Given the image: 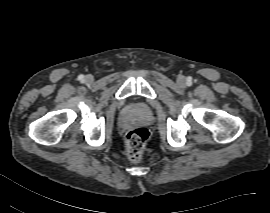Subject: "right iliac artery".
<instances>
[{"label":"right iliac artery","mask_w":270,"mask_h":213,"mask_svg":"<svg viewBox=\"0 0 270 213\" xmlns=\"http://www.w3.org/2000/svg\"><path fill=\"white\" fill-rule=\"evenodd\" d=\"M78 79H79L80 81H83V80H84V76H83V75H79V76H78Z\"/></svg>","instance_id":"right-iliac-artery-1"}]
</instances>
